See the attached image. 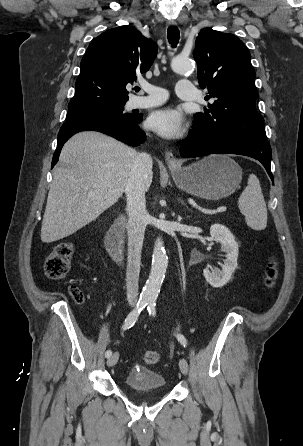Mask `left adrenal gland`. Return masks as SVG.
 I'll use <instances>...</instances> for the list:
<instances>
[{"label":"left adrenal gland","mask_w":303,"mask_h":446,"mask_svg":"<svg viewBox=\"0 0 303 446\" xmlns=\"http://www.w3.org/2000/svg\"><path fill=\"white\" fill-rule=\"evenodd\" d=\"M181 203L185 205L184 201L181 200Z\"/></svg>","instance_id":"left-adrenal-gland-1"}]
</instances>
